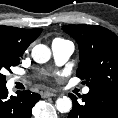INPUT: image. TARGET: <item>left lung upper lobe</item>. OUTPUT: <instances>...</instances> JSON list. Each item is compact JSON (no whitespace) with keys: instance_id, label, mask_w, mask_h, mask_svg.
<instances>
[{"instance_id":"1","label":"left lung upper lobe","mask_w":118,"mask_h":118,"mask_svg":"<svg viewBox=\"0 0 118 118\" xmlns=\"http://www.w3.org/2000/svg\"><path fill=\"white\" fill-rule=\"evenodd\" d=\"M62 29L78 43L76 76L90 90L118 93V37L97 25H65Z\"/></svg>"}]
</instances>
